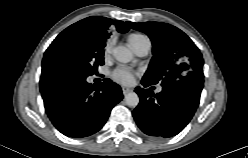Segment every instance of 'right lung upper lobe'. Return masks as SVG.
<instances>
[{
  "mask_svg": "<svg viewBox=\"0 0 248 158\" xmlns=\"http://www.w3.org/2000/svg\"><path fill=\"white\" fill-rule=\"evenodd\" d=\"M112 25H115L121 33L129 30L128 26L122 21H114L99 16L85 18L71 26L79 30L87 40L105 46L109 38L108 30Z\"/></svg>",
  "mask_w": 248,
  "mask_h": 158,
  "instance_id": "right-lung-upper-lobe-1",
  "label": "right lung upper lobe"
}]
</instances>
